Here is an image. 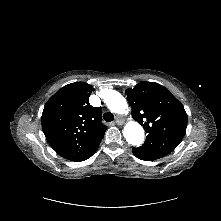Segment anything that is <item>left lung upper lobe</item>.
<instances>
[{
    "mask_svg": "<svg viewBox=\"0 0 221 221\" xmlns=\"http://www.w3.org/2000/svg\"><path fill=\"white\" fill-rule=\"evenodd\" d=\"M134 120L147 133L144 144L135 151L156 160L172 152L183 139L187 114L183 105L162 85L141 82L125 91Z\"/></svg>",
    "mask_w": 221,
    "mask_h": 221,
    "instance_id": "5c2ea615",
    "label": "left lung upper lobe"
}]
</instances>
